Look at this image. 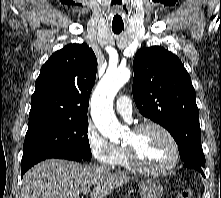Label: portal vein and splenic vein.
<instances>
[{
	"label": "portal vein and splenic vein",
	"instance_id": "portal-vein-and-splenic-vein-1",
	"mask_svg": "<svg viewBox=\"0 0 221 198\" xmlns=\"http://www.w3.org/2000/svg\"><path fill=\"white\" fill-rule=\"evenodd\" d=\"M86 193H87V191L83 192V194H86Z\"/></svg>",
	"mask_w": 221,
	"mask_h": 198
}]
</instances>
